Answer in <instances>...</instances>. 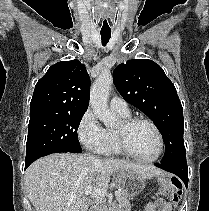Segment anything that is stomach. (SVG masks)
I'll return each mask as SVG.
<instances>
[{
  "label": "stomach",
  "mask_w": 209,
  "mask_h": 211,
  "mask_svg": "<svg viewBox=\"0 0 209 211\" xmlns=\"http://www.w3.org/2000/svg\"><path fill=\"white\" fill-rule=\"evenodd\" d=\"M119 185L129 198H134L145 188L144 180L136 174L125 171L119 176Z\"/></svg>",
  "instance_id": "obj_1"
}]
</instances>
